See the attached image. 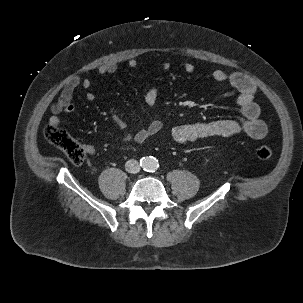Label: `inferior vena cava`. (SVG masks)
<instances>
[{
    "label": "inferior vena cava",
    "mask_w": 303,
    "mask_h": 303,
    "mask_svg": "<svg viewBox=\"0 0 303 303\" xmlns=\"http://www.w3.org/2000/svg\"><path fill=\"white\" fill-rule=\"evenodd\" d=\"M125 169L128 173H138L140 171V165L137 160L130 159L125 164Z\"/></svg>",
    "instance_id": "602c4592"
}]
</instances>
